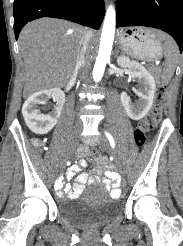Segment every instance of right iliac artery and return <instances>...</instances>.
<instances>
[{
	"label": "right iliac artery",
	"instance_id": "82829eb1",
	"mask_svg": "<svg viewBox=\"0 0 183 246\" xmlns=\"http://www.w3.org/2000/svg\"><path fill=\"white\" fill-rule=\"evenodd\" d=\"M58 188H59L58 182H56V184H55V189H58Z\"/></svg>",
	"mask_w": 183,
	"mask_h": 246
}]
</instances>
